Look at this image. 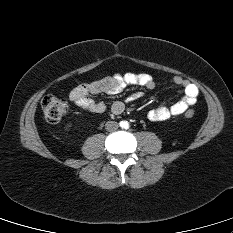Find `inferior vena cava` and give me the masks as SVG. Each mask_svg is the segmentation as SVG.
Wrapping results in <instances>:
<instances>
[{
	"label": "inferior vena cava",
	"instance_id": "inferior-vena-cava-1",
	"mask_svg": "<svg viewBox=\"0 0 233 233\" xmlns=\"http://www.w3.org/2000/svg\"><path fill=\"white\" fill-rule=\"evenodd\" d=\"M119 127L118 123L115 122V121H108L106 124H105V128L107 131H115L117 130Z\"/></svg>",
	"mask_w": 233,
	"mask_h": 233
}]
</instances>
